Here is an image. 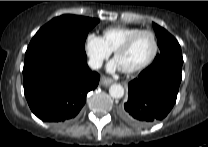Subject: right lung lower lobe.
I'll return each mask as SVG.
<instances>
[{"mask_svg":"<svg viewBox=\"0 0 208 147\" xmlns=\"http://www.w3.org/2000/svg\"><path fill=\"white\" fill-rule=\"evenodd\" d=\"M99 79L86 64L84 47L68 38L29 45L25 53L24 93L42 121L61 124L75 118Z\"/></svg>","mask_w":208,"mask_h":147,"instance_id":"1","label":"right lung lower lobe"}]
</instances>
